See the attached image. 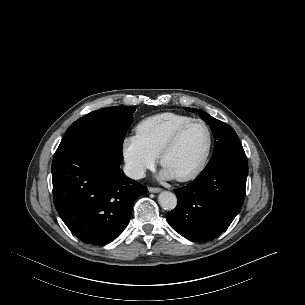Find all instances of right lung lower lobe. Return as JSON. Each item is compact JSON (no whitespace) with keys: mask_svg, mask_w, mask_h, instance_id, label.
Segmentation results:
<instances>
[{"mask_svg":"<svg viewBox=\"0 0 305 305\" xmlns=\"http://www.w3.org/2000/svg\"><path fill=\"white\" fill-rule=\"evenodd\" d=\"M122 160L102 144L56 152L52 162L55 208L70 231L84 243L105 245L129 223L142 184L125 176Z\"/></svg>","mask_w":305,"mask_h":305,"instance_id":"right-lung-lower-lobe-1","label":"right lung lower lobe"}]
</instances>
